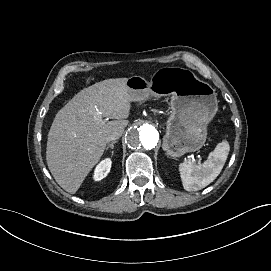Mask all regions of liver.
<instances>
[{"label": "liver", "instance_id": "1", "mask_svg": "<svg viewBox=\"0 0 271 271\" xmlns=\"http://www.w3.org/2000/svg\"><path fill=\"white\" fill-rule=\"evenodd\" d=\"M127 78L107 79L77 93L56 114L48 133L46 160L56 182L77 192L100 160L107 137L127 126ZM102 117L116 119L105 122Z\"/></svg>", "mask_w": 271, "mask_h": 271}]
</instances>
